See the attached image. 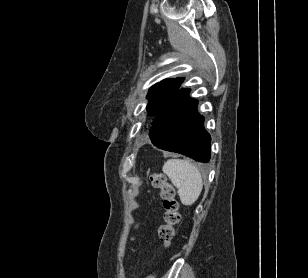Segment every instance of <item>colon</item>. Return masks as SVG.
<instances>
[{"instance_id": "obj_1", "label": "colon", "mask_w": 308, "mask_h": 278, "mask_svg": "<svg viewBox=\"0 0 308 278\" xmlns=\"http://www.w3.org/2000/svg\"><path fill=\"white\" fill-rule=\"evenodd\" d=\"M150 183L153 187L160 190V197L163 200L164 223L160 225L158 234L160 240L169 245L174 238L176 226L180 223V204L176 199V193L172 185L162 173H153L150 175Z\"/></svg>"}]
</instances>
